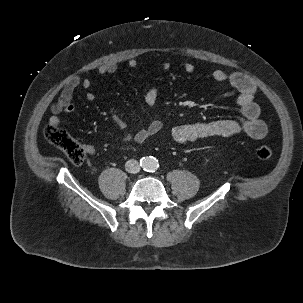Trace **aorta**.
I'll use <instances>...</instances> for the list:
<instances>
[{"label":"aorta","instance_id":"1","mask_svg":"<svg viewBox=\"0 0 303 303\" xmlns=\"http://www.w3.org/2000/svg\"><path fill=\"white\" fill-rule=\"evenodd\" d=\"M141 165L144 170L153 172L158 169L159 163L155 157L149 156L142 159Z\"/></svg>","mask_w":303,"mask_h":303}]
</instances>
